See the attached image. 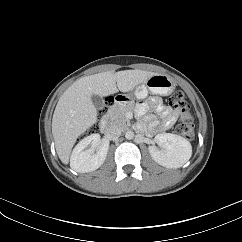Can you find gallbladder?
Segmentation results:
<instances>
[{"mask_svg":"<svg viewBox=\"0 0 242 242\" xmlns=\"http://www.w3.org/2000/svg\"><path fill=\"white\" fill-rule=\"evenodd\" d=\"M92 103L97 109L104 108V100L98 95H92L91 97Z\"/></svg>","mask_w":242,"mask_h":242,"instance_id":"1","label":"gallbladder"}]
</instances>
